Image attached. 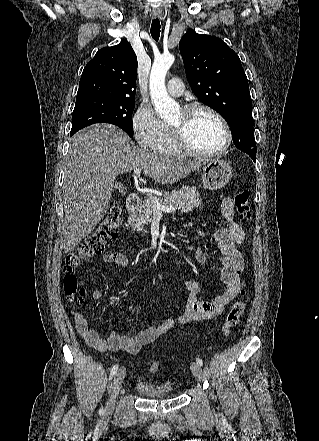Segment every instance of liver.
Listing matches in <instances>:
<instances>
[{
  "label": "liver",
  "mask_w": 319,
  "mask_h": 441,
  "mask_svg": "<svg viewBox=\"0 0 319 441\" xmlns=\"http://www.w3.org/2000/svg\"><path fill=\"white\" fill-rule=\"evenodd\" d=\"M202 165L141 150L111 124L98 123L77 132L70 139L64 165V252L73 251L104 217L117 175L140 168L155 181L172 184Z\"/></svg>",
  "instance_id": "obj_1"
}]
</instances>
